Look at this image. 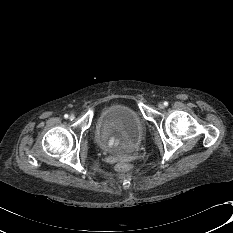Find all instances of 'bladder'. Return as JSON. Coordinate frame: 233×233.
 I'll return each mask as SVG.
<instances>
[{
  "mask_svg": "<svg viewBox=\"0 0 233 233\" xmlns=\"http://www.w3.org/2000/svg\"><path fill=\"white\" fill-rule=\"evenodd\" d=\"M145 122L139 112L125 104H112L98 115L94 136L102 145H109L119 152L136 149L145 135Z\"/></svg>",
  "mask_w": 233,
  "mask_h": 233,
  "instance_id": "31cf9c89",
  "label": "bladder"
}]
</instances>
